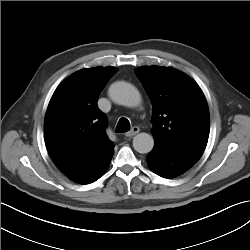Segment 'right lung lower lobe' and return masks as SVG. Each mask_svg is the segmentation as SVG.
<instances>
[{
    "mask_svg": "<svg viewBox=\"0 0 250 250\" xmlns=\"http://www.w3.org/2000/svg\"><path fill=\"white\" fill-rule=\"evenodd\" d=\"M113 152H114V147L99 160L91 164L89 167L68 178L80 184H88L96 181L107 170L110 161L112 159Z\"/></svg>",
    "mask_w": 250,
    "mask_h": 250,
    "instance_id": "obj_1",
    "label": "right lung lower lobe"
}]
</instances>
